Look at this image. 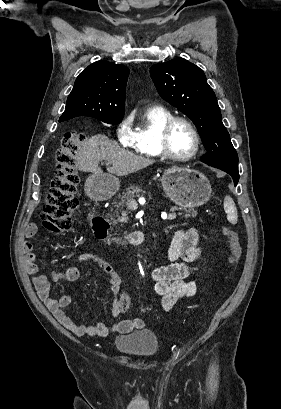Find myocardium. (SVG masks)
<instances>
[{
	"label": "myocardium",
	"instance_id": "myocardium-1",
	"mask_svg": "<svg viewBox=\"0 0 281 409\" xmlns=\"http://www.w3.org/2000/svg\"><path fill=\"white\" fill-rule=\"evenodd\" d=\"M182 123L185 126L188 127V129L191 131L194 141H195V146L192 152H190L187 155H176L172 152L169 144V139H170V134L173 130V128L178 124ZM201 145V139L199 132L195 125L187 118L182 117V116H174L171 119H169L161 128L158 136V147L162 153L163 156L174 160V161H186L198 153Z\"/></svg>",
	"mask_w": 281,
	"mask_h": 409
}]
</instances>
